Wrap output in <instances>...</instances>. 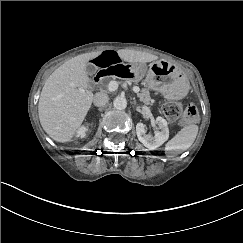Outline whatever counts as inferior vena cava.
Listing matches in <instances>:
<instances>
[{
	"instance_id": "1",
	"label": "inferior vena cava",
	"mask_w": 243,
	"mask_h": 243,
	"mask_svg": "<svg viewBox=\"0 0 243 243\" xmlns=\"http://www.w3.org/2000/svg\"><path fill=\"white\" fill-rule=\"evenodd\" d=\"M108 99L109 97L107 94L98 92L93 98V103L97 107L104 106L108 102Z\"/></svg>"
}]
</instances>
